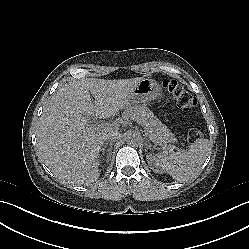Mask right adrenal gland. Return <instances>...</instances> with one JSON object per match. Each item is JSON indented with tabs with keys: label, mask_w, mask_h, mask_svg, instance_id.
Here are the masks:
<instances>
[{
	"label": "right adrenal gland",
	"mask_w": 249,
	"mask_h": 249,
	"mask_svg": "<svg viewBox=\"0 0 249 249\" xmlns=\"http://www.w3.org/2000/svg\"><path fill=\"white\" fill-rule=\"evenodd\" d=\"M102 146H103V147H102L101 151H102V153L104 154V153H105L106 145H102Z\"/></svg>",
	"instance_id": "1"
}]
</instances>
